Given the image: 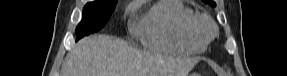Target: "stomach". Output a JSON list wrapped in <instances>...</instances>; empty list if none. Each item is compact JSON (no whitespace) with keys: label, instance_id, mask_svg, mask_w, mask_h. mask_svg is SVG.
<instances>
[{"label":"stomach","instance_id":"obj_1","mask_svg":"<svg viewBox=\"0 0 287 76\" xmlns=\"http://www.w3.org/2000/svg\"><path fill=\"white\" fill-rule=\"evenodd\" d=\"M190 76H199L198 74H196V73H193L192 75H190Z\"/></svg>","mask_w":287,"mask_h":76}]
</instances>
